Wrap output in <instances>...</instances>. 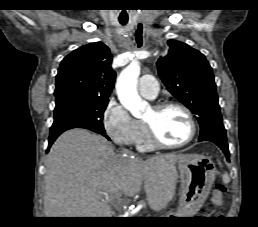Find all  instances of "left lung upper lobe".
Returning a JSON list of instances; mask_svg holds the SVG:
<instances>
[{
  "label": "left lung upper lobe",
  "instance_id": "5c2ea615",
  "mask_svg": "<svg viewBox=\"0 0 258 227\" xmlns=\"http://www.w3.org/2000/svg\"><path fill=\"white\" fill-rule=\"evenodd\" d=\"M165 57L157 62L158 73L168 91L197 115L199 141L227 139L212 68L205 56L189 45L169 40Z\"/></svg>",
  "mask_w": 258,
  "mask_h": 227
}]
</instances>
